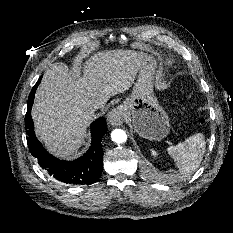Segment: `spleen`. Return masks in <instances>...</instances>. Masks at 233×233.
Here are the masks:
<instances>
[{"mask_svg": "<svg viewBox=\"0 0 233 233\" xmlns=\"http://www.w3.org/2000/svg\"><path fill=\"white\" fill-rule=\"evenodd\" d=\"M206 148L204 137L200 133L193 134L183 142L167 148L174 160L179 173L183 177L191 175L199 167Z\"/></svg>", "mask_w": 233, "mask_h": 233, "instance_id": "spleen-1", "label": "spleen"}]
</instances>
